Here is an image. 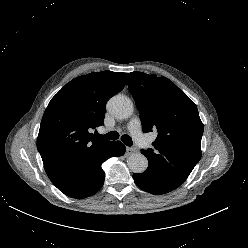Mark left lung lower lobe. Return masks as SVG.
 Listing matches in <instances>:
<instances>
[{
  "label": "left lung lower lobe",
  "instance_id": "1",
  "mask_svg": "<svg viewBox=\"0 0 248 248\" xmlns=\"http://www.w3.org/2000/svg\"><path fill=\"white\" fill-rule=\"evenodd\" d=\"M133 178L142 190L156 195L168 193L180 186L166 176L162 170L153 166H148L144 173L133 174Z\"/></svg>",
  "mask_w": 248,
  "mask_h": 248
}]
</instances>
